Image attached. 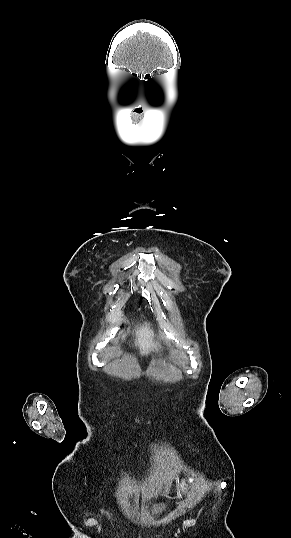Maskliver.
<instances>
[{
  "mask_svg": "<svg viewBox=\"0 0 291 538\" xmlns=\"http://www.w3.org/2000/svg\"><path fill=\"white\" fill-rule=\"evenodd\" d=\"M135 345L139 347L141 354H148L149 351L157 349L158 344L153 342V330L149 324H144L135 330Z\"/></svg>",
  "mask_w": 291,
  "mask_h": 538,
  "instance_id": "1",
  "label": "liver"
}]
</instances>
